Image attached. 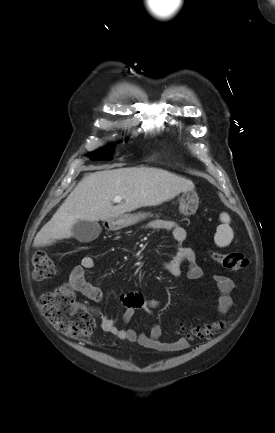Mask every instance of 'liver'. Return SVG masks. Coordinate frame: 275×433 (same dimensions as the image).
Wrapping results in <instances>:
<instances>
[{
    "label": "liver",
    "mask_w": 275,
    "mask_h": 433,
    "mask_svg": "<svg viewBox=\"0 0 275 433\" xmlns=\"http://www.w3.org/2000/svg\"><path fill=\"white\" fill-rule=\"evenodd\" d=\"M192 181L153 167H125L97 171L84 177L51 220L34 238L35 247L68 239L75 223L105 221L145 206H156L181 192L192 191ZM123 202L113 206L112 199Z\"/></svg>",
    "instance_id": "1"
}]
</instances>
